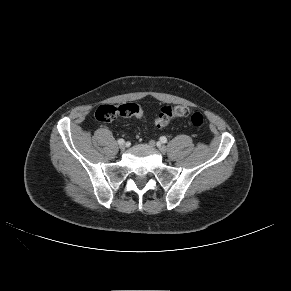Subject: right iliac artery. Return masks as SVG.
<instances>
[{
  "instance_id": "1",
  "label": "right iliac artery",
  "mask_w": 291,
  "mask_h": 291,
  "mask_svg": "<svg viewBox=\"0 0 291 291\" xmlns=\"http://www.w3.org/2000/svg\"><path fill=\"white\" fill-rule=\"evenodd\" d=\"M118 144H119V145L124 144V140H123V139H119V140H118Z\"/></svg>"
}]
</instances>
